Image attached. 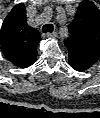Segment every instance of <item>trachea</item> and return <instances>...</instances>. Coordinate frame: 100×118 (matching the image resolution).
Masks as SVG:
<instances>
[{
  "label": "trachea",
  "instance_id": "1",
  "mask_svg": "<svg viewBox=\"0 0 100 118\" xmlns=\"http://www.w3.org/2000/svg\"><path fill=\"white\" fill-rule=\"evenodd\" d=\"M54 30V26L52 24H46L42 27V31L44 33H51Z\"/></svg>",
  "mask_w": 100,
  "mask_h": 118
}]
</instances>
